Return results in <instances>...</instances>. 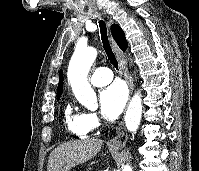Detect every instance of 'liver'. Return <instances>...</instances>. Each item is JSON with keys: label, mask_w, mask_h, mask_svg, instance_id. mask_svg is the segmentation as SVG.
Instances as JSON below:
<instances>
[{"label": "liver", "mask_w": 199, "mask_h": 171, "mask_svg": "<svg viewBox=\"0 0 199 171\" xmlns=\"http://www.w3.org/2000/svg\"><path fill=\"white\" fill-rule=\"evenodd\" d=\"M101 139L74 140L55 148L48 160L47 171H69L93 158L101 149Z\"/></svg>", "instance_id": "1"}]
</instances>
